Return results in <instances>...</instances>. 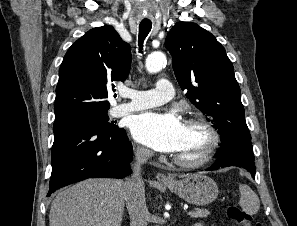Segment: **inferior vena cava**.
<instances>
[{"instance_id":"1","label":"inferior vena cava","mask_w":297,"mask_h":226,"mask_svg":"<svg viewBox=\"0 0 297 226\" xmlns=\"http://www.w3.org/2000/svg\"><path fill=\"white\" fill-rule=\"evenodd\" d=\"M152 156L148 149L138 148L132 175L125 182V201L130 216V226H147L149 212L145 202V186L141 177V165Z\"/></svg>"}]
</instances>
